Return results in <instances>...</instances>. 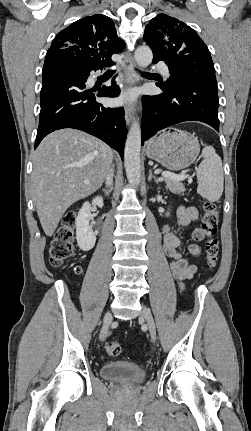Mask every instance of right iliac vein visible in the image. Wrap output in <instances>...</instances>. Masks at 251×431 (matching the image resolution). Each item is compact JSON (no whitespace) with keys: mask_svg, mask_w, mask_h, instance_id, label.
I'll return each mask as SVG.
<instances>
[{"mask_svg":"<svg viewBox=\"0 0 251 431\" xmlns=\"http://www.w3.org/2000/svg\"><path fill=\"white\" fill-rule=\"evenodd\" d=\"M112 321H113L112 314H111L110 311H108L105 314V317H104V326H103V328L101 330V333H100V340L101 341H104L105 338L107 337L108 330H109V327H110Z\"/></svg>","mask_w":251,"mask_h":431,"instance_id":"63e3f726","label":"right iliac vein"}]
</instances>
